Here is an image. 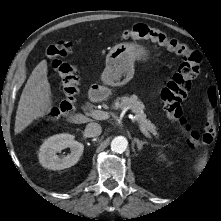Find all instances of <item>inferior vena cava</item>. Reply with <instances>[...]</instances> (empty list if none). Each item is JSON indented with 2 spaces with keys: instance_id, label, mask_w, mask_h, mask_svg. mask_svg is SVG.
I'll list each match as a JSON object with an SVG mask.
<instances>
[{
  "instance_id": "inferior-vena-cava-1",
  "label": "inferior vena cava",
  "mask_w": 221,
  "mask_h": 221,
  "mask_svg": "<svg viewBox=\"0 0 221 221\" xmlns=\"http://www.w3.org/2000/svg\"><path fill=\"white\" fill-rule=\"evenodd\" d=\"M102 132V128L100 126V124L95 123V122H91L89 124H87L86 128H85V134L87 137H96L99 136Z\"/></svg>"
}]
</instances>
